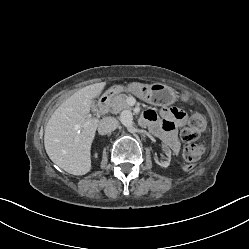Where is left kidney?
I'll list each match as a JSON object with an SVG mask.
<instances>
[{"mask_svg":"<svg viewBox=\"0 0 249 249\" xmlns=\"http://www.w3.org/2000/svg\"><path fill=\"white\" fill-rule=\"evenodd\" d=\"M160 152L153 155L152 159L161 167L167 168L171 161L170 150L166 146L160 147Z\"/></svg>","mask_w":249,"mask_h":249,"instance_id":"5707ae66","label":"left kidney"}]
</instances>
